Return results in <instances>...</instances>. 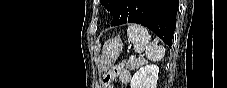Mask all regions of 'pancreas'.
<instances>
[{
    "instance_id": "cf45deb5",
    "label": "pancreas",
    "mask_w": 227,
    "mask_h": 88,
    "mask_svg": "<svg viewBox=\"0 0 227 88\" xmlns=\"http://www.w3.org/2000/svg\"><path fill=\"white\" fill-rule=\"evenodd\" d=\"M144 59H129L127 61L122 62V66H125L129 70H135L145 64Z\"/></svg>"
}]
</instances>
